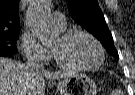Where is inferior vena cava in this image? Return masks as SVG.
I'll return each instance as SVG.
<instances>
[{
  "instance_id": "inferior-vena-cava-1",
  "label": "inferior vena cava",
  "mask_w": 135,
  "mask_h": 95,
  "mask_svg": "<svg viewBox=\"0 0 135 95\" xmlns=\"http://www.w3.org/2000/svg\"><path fill=\"white\" fill-rule=\"evenodd\" d=\"M26 66H27L28 68H30V69H35V68L38 67V64H37L36 60L33 58V59H31V60H29V61L27 62Z\"/></svg>"
}]
</instances>
